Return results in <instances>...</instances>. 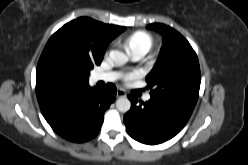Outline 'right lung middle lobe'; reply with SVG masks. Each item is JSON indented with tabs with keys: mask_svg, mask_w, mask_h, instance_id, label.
Returning a JSON list of instances; mask_svg holds the SVG:
<instances>
[{
	"mask_svg": "<svg viewBox=\"0 0 248 165\" xmlns=\"http://www.w3.org/2000/svg\"><path fill=\"white\" fill-rule=\"evenodd\" d=\"M42 56L50 65L71 76H89L94 65L101 63H93L82 47L60 40L47 43Z\"/></svg>",
	"mask_w": 248,
	"mask_h": 165,
	"instance_id": "1",
	"label": "right lung middle lobe"
}]
</instances>
